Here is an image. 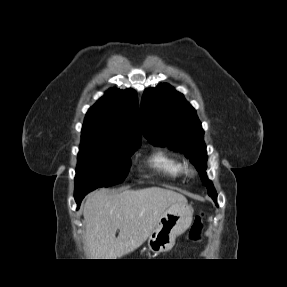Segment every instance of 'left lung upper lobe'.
I'll return each instance as SVG.
<instances>
[{
    "label": "left lung upper lobe",
    "mask_w": 287,
    "mask_h": 287,
    "mask_svg": "<svg viewBox=\"0 0 287 287\" xmlns=\"http://www.w3.org/2000/svg\"><path fill=\"white\" fill-rule=\"evenodd\" d=\"M141 129L149 142L182 151L199 171L209 196L217 205V193L206 174L204 131L195 109L183 95L163 83L145 91L141 101Z\"/></svg>",
    "instance_id": "1"
}]
</instances>
